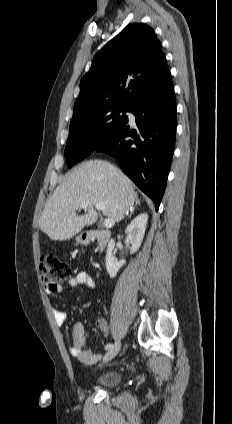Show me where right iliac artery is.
Segmentation results:
<instances>
[{
	"label": "right iliac artery",
	"instance_id": "right-iliac-artery-1",
	"mask_svg": "<svg viewBox=\"0 0 232 424\" xmlns=\"http://www.w3.org/2000/svg\"><path fill=\"white\" fill-rule=\"evenodd\" d=\"M113 346V344L109 343L106 345L105 349H110Z\"/></svg>",
	"mask_w": 232,
	"mask_h": 424
}]
</instances>
